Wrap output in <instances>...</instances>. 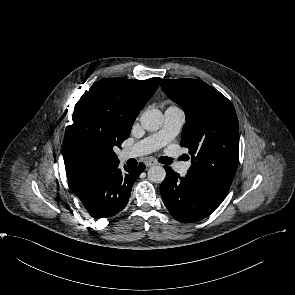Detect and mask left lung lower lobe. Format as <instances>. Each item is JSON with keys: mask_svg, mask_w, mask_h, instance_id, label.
I'll list each match as a JSON object with an SVG mask.
<instances>
[{"mask_svg": "<svg viewBox=\"0 0 295 295\" xmlns=\"http://www.w3.org/2000/svg\"><path fill=\"white\" fill-rule=\"evenodd\" d=\"M166 178L160 186L162 200L175 220L196 222L209 216L222 203L195 183L191 178L180 175L165 166Z\"/></svg>", "mask_w": 295, "mask_h": 295, "instance_id": "obj_1", "label": "left lung lower lobe"}]
</instances>
